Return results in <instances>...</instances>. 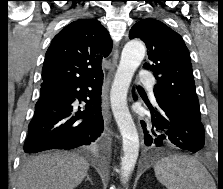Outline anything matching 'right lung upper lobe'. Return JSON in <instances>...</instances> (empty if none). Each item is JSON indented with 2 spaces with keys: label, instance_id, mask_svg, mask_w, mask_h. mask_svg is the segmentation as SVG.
<instances>
[{
  "label": "right lung upper lobe",
  "instance_id": "right-lung-upper-lobe-1",
  "mask_svg": "<svg viewBox=\"0 0 223 189\" xmlns=\"http://www.w3.org/2000/svg\"><path fill=\"white\" fill-rule=\"evenodd\" d=\"M111 50L110 35L98 20L73 21L53 38L46 52L41 87L78 84L102 76V58Z\"/></svg>",
  "mask_w": 223,
  "mask_h": 189
}]
</instances>
